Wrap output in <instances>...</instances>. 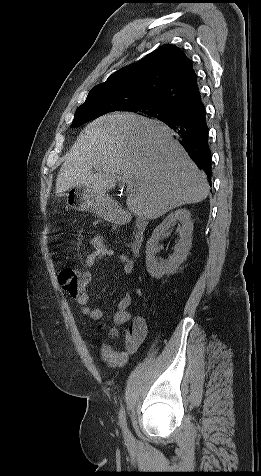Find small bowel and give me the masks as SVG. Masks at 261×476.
Wrapping results in <instances>:
<instances>
[{
	"instance_id": "1",
	"label": "small bowel",
	"mask_w": 261,
	"mask_h": 476,
	"mask_svg": "<svg viewBox=\"0 0 261 476\" xmlns=\"http://www.w3.org/2000/svg\"><path fill=\"white\" fill-rule=\"evenodd\" d=\"M93 250L86 255L85 266L92 267L96 262L102 261L106 258H115L121 265L123 272L126 275L132 273L134 263L125 254H118L113 249L108 248L102 237L95 235L91 240ZM86 278L87 282L71 296L80 306L81 313L89 316L93 320H99L102 317V311L98 307L89 306V294L86 291V286L90 280V275L87 272H81ZM131 304V295L126 293L119 301L118 308L114 316V322L118 327H123V337L125 347L122 351L113 349L109 344L102 343L99 346L100 360L108 367L124 366L130 357L136 352L140 344L147 335V323L143 317H131L129 306Z\"/></svg>"
}]
</instances>
